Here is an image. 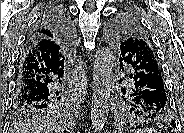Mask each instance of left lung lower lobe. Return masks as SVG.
<instances>
[{"mask_svg": "<svg viewBox=\"0 0 184 133\" xmlns=\"http://www.w3.org/2000/svg\"><path fill=\"white\" fill-rule=\"evenodd\" d=\"M130 77L133 79L131 87L137 114L143 118H168L170 103L163 76L155 68L141 62L132 68ZM171 124H174L173 120Z\"/></svg>", "mask_w": 184, "mask_h": 133, "instance_id": "0a47b994", "label": "left lung lower lobe"}]
</instances>
